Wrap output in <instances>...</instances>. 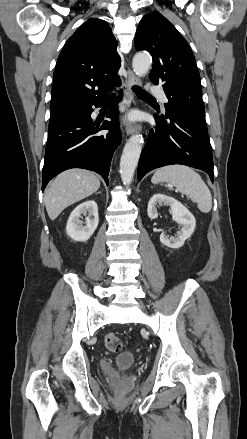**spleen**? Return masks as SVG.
<instances>
[{"instance_id": "1", "label": "spleen", "mask_w": 247, "mask_h": 439, "mask_svg": "<svg viewBox=\"0 0 247 439\" xmlns=\"http://www.w3.org/2000/svg\"><path fill=\"white\" fill-rule=\"evenodd\" d=\"M152 183L168 182L182 194L191 198L202 213H209L212 207V196L209 188L200 175L185 165H169L158 169Z\"/></svg>"}]
</instances>
